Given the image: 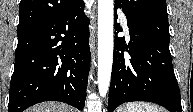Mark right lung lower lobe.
<instances>
[{
	"label": "right lung lower lobe",
	"instance_id": "98d812e1",
	"mask_svg": "<svg viewBox=\"0 0 193 112\" xmlns=\"http://www.w3.org/2000/svg\"><path fill=\"white\" fill-rule=\"evenodd\" d=\"M79 1L66 12L18 33L8 112L43 101L83 109L90 68L89 19Z\"/></svg>",
	"mask_w": 193,
	"mask_h": 112
}]
</instances>
